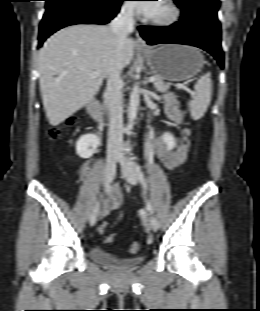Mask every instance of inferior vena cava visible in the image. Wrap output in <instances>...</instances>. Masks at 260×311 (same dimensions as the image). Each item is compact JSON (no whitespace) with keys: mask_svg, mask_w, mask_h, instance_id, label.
Segmentation results:
<instances>
[{"mask_svg":"<svg viewBox=\"0 0 260 311\" xmlns=\"http://www.w3.org/2000/svg\"><path fill=\"white\" fill-rule=\"evenodd\" d=\"M133 9L124 7L110 24L111 31L117 37L118 47H122L127 36L134 30ZM122 67L117 66L108 76L104 96L109 107L108 151L118 152L123 137V95L121 92Z\"/></svg>","mask_w":260,"mask_h":311,"instance_id":"602c4592","label":"inferior vena cava"}]
</instances>
